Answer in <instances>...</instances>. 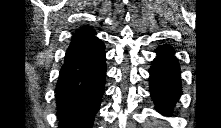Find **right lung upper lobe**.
Masks as SVG:
<instances>
[{
  "mask_svg": "<svg viewBox=\"0 0 221 128\" xmlns=\"http://www.w3.org/2000/svg\"><path fill=\"white\" fill-rule=\"evenodd\" d=\"M96 32L88 26L79 28L72 36L71 43H77L95 37Z\"/></svg>",
  "mask_w": 221,
  "mask_h": 128,
  "instance_id": "right-lung-upper-lobe-1",
  "label": "right lung upper lobe"
}]
</instances>
